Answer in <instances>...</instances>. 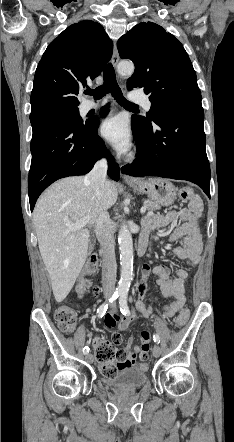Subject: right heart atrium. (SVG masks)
<instances>
[{"instance_id": "obj_1", "label": "right heart atrium", "mask_w": 234, "mask_h": 442, "mask_svg": "<svg viewBox=\"0 0 234 442\" xmlns=\"http://www.w3.org/2000/svg\"><path fill=\"white\" fill-rule=\"evenodd\" d=\"M102 150H103V153H104V154L107 153V147H106V146H104Z\"/></svg>"}]
</instances>
